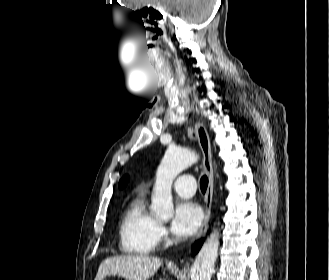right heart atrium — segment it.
<instances>
[{
  "label": "right heart atrium",
  "mask_w": 329,
  "mask_h": 280,
  "mask_svg": "<svg viewBox=\"0 0 329 280\" xmlns=\"http://www.w3.org/2000/svg\"><path fill=\"white\" fill-rule=\"evenodd\" d=\"M167 237V231L163 224L159 223L157 227V239L158 242H162Z\"/></svg>",
  "instance_id": "right-heart-atrium-1"
}]
</instances>
